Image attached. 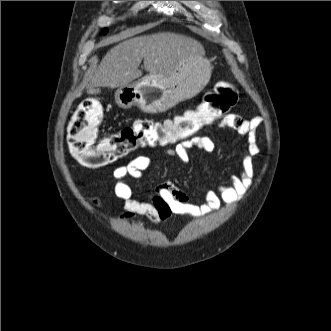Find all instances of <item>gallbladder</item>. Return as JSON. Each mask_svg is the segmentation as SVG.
Listing matches in <instances>:
<instances>
[{
    "label": "gallbladder",
    "mask_w": 331,
    "mask_h": 331,
    "mask_svg": "<svg viewBox=\"0 0 331 331\" xmlns=\"http://www.w3.org/2000/svg\"><path fill=\"white\" fill-rule=\"evenodd\" d=\"M99 93H100L99 89H92L91 92L89 91V94H92V95H96V94H99Z\"/></svg>",
    "instance_id": "bac80fb5"
}]
</instances>
